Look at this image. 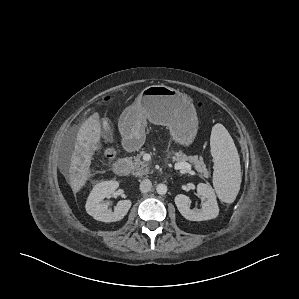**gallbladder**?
<instances>
[{
  "label": "gallbladder",
  "instance_id": "bac80fb5",
  "mask_svg": "<svg viewBox=\"0 0 299 299\" xmlns=\"http://www.w3.org/2000/svg\"><path fill=\"white\" fill-rule=\"evenodd\" d=\"M103 134L105 137H111V128L107 119H104Z\"/></svg>",
  "mask_w": 299,
  "mask_h": 299
}]
</instances>
